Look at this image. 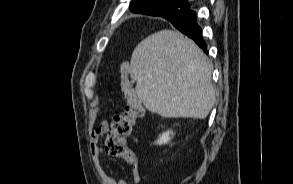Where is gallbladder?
<instances>
[{"mask_svg":"<svg viewBox=\"0 0 293 184\" xmlns=\"http://www.w3.org/2000/svg\"><path fill=\"white\" fill-rule=\"evenodd\" d=\"M132 84L134 83V80H132V82H131Z\"/></svg>","mask_w":293,"mask_h":184,"instance_id":"gallbladder-1","label":"gallbladder"}]
</instances>
